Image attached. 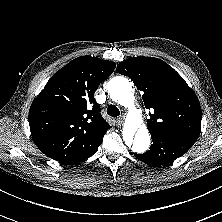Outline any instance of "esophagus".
Here are the masks:
<instances>
[{"label":"esophagus","instance_id":"esophagus-1","mask_svg":"<svg viewBox=\"0 0 222 222\" xmlns=\"http://www.w3.org/2000/svg\"><path fill=\"white\" fill-rule=\"evenodd\" d=\"M123 121H124V117L123 116H120L117 120H116V123L118 126H121L123 124Z\"/></svg>","mask_w":222,"mask_h":222}]
</instances>
